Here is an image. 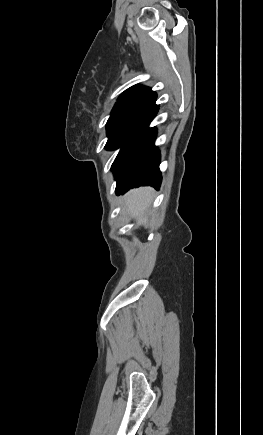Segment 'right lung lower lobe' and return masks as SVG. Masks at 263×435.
Returning <instances> with one entry per match:
<instances>
[{"mask_svg": "<svg viewBox=\"0 0 263 435\" xmlns=\"http://www.w3.org/2000/svg\"><path fill=\"white\" fill-rule=\"evenodd\" d=\"M155 101L147 104L137 116L112 165L118 195L134 187L149 185L159 189L161 185L160 152L154 145L156 128H149L158 112Z\"/></svg>", "mask_w": 263, "mask_h": 435, "instance_id": "right-lung-lower-lobe-1", "label": "right lung lower lobe"}]
</instances>
